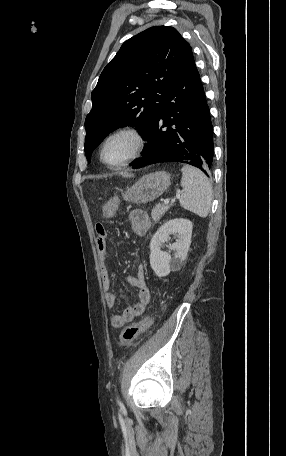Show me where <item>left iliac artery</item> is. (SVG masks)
Returning a JSON list of instances; mask_svg holds the SVG:
<instances>
[{
  "instance_id": "obj_1",
  "label": "left iliac artery",
  "mask_w": 286,
  "mask_h": 456,
  "mask_svg": "<svg viewBox=\"0 0 286 456\" xmlns=\"http://www.w3.org/2000/svg\"><path fill=\"white\" fill-rule=\"evenodd\" d=\"M117 401H118V404H119V405H122V403H121V401H120V400H117Z\"/></svg>"
}]
</instances>
